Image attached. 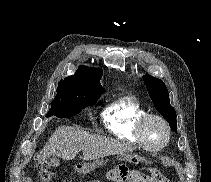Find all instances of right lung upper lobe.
<instances>
[{"label":"right lung upper lobe","mask_w":211,"mask_h":182,"mask_svg":"<svg viewBox=\"0 0 211 182\" xmlns=\"http://www.w3.org/2000/svg\"><path fill=\"white\" fill-rule=\"evenodd\" d=\"M101 77V69L80 66L74 75L66 77L65 80L71 81L75 84L94 88L100 92H105V89L100 84Z\"/></svg>","instance_id":"obj_1"}]
</instances>
